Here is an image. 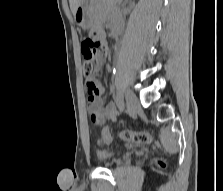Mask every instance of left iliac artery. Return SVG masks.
Wrapping results in <instances>:
<instances>
[{
    "label": "left iliac artery",
    "instance_id": "1",
    "mask_svg": "<svg viewBox=\"0 0 223 191\" xmlns=\"http://www.w3.org/2000/svg\"><path fill=\"white\" fill-rule=\"evenodd\" d=\"M117 104H118V107L121 111H123L124 109V103H123V95L121 93H119L117 95Z\"/></svg>",
    "mask_w": 223,
    "mask_h": 191
}]
</instances>
